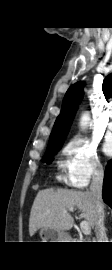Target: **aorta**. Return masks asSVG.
Here are the masks:
<instances>
[{
    "mask_svg": "<svg viewBox=\"0 0 112 270\" xmlns=\"http://www.w3.org/2000/svg\"><path fill=\"white\" fill-rule=\"evenodd\" d=\"M90 120V116L87 113H84L81 117L80 125L82 128H84Z\"/></svg>",
    "mask_w": 112,
    "mask_h": 270,
    "instance_id": "1",
    "label": "aorta"
}]
</instances>
